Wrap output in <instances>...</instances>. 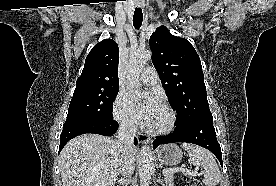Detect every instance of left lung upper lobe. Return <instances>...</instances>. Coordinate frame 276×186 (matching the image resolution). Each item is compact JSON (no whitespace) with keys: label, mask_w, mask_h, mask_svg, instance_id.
I'll return each instance as SVG.
<instances>
[{"label":"left lung upper lobe","mask_w":276,"mask_h":186,"mask_svg":"<svg viewBox=\"0 0 276 186\" xmlns=\"http://www.w3.org/2000/svg\"><path fill=\"white\" fill-rule=\"evenodd\" d=\"M150 48L170 105L179 115L176 125L212 116L201 61L191 43L161 26L150 36Z\"/></svg>","instance_id":"left-lung-upper-lobe-1"}]
</instances>
